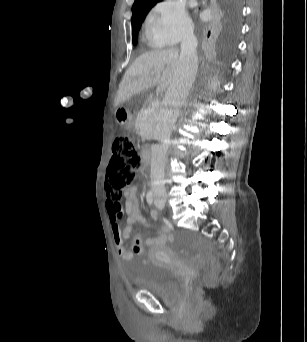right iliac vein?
Returning a JSON list of instances; mask_svg holds the SVG:
<instances>
[{"mask_svg": "<svg viewBox=\"0 0 307 342\" xmlns=\"http://www.w3.org/2000/svg\"><path fill=\"white\" fill-rule=\"evenodd\" d=\"M159 202H160V203H164L165 200H164V199H159Z\"/></svg>", "mask_w": 307, "mask_h": 342, "instance_id": "obj_1", "label": "right iliac vein"}]
</instances>
